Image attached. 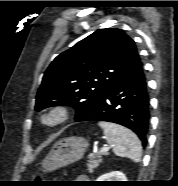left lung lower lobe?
I'll return each mask as SVG.
<instances>
[{"label":"left lung lower lobe","instance_id":"0a47b994","mask_svg":"<svg viewBox=\"0 0 178 186\" xmlns=\"http://www.w3.org/2000/svg\"><path fill=\"white\" fill-rule=\"evenodd\" d=\"M149 95L143 65L117 80L101 101L76 121H106L134 131L143 145L149 128Z\"/></svg>","mask_w":178,"mask_h":186}]
</instances>
